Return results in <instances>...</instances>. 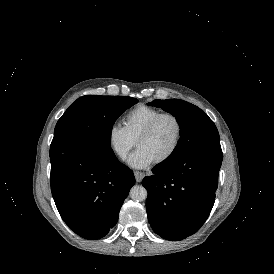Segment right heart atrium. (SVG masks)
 Listing matches in <instances>:
<instances>
[{
	"mask_svg": "<svg viewBox=\"0 0 274 274\" xmlns=\"http://www.w3.org/2000/svg\"><path fill=\"white\" fill-rule=\"evenodd\" d=\"M109 148L120 158H124L133 148L135 140L129 136L122 125L112 123L107 130Z\"/></svg>",
	"mask_w": 274,
	"mask_h": 274,
	"instance_id": "right-heart-atrium-1",
	"label": "right heart atrium"
}]
</instances>
